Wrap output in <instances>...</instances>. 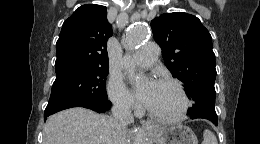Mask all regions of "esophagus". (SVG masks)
Returning <instances> with one entry per match:
<instances>
[{"label": "esophagus", "mask_w": 260, "mask_h": 144, "mask_svg": "<svg viewBox=\"0 0 260 144\" xmlns=\"http://www.w3.org/2000/svg\"><path fill=\"white\" fill-rule=\"evenodd\" d=\"M143 128L145 131H152L154 130V126L150 122H145L143 124Z\"/></svg>", "instance_id": "34e87169"}]
</instances>
